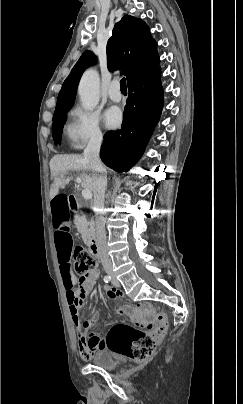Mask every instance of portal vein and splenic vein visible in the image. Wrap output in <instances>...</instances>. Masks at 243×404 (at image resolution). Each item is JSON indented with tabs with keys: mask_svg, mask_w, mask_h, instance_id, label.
I'll return each mask as SVG.
<instances>
[{
	"mask_svg": "<svg viewBox=\"0 0 243 404\" xmlns=\"http://www.w3.org/2000/svg\"><path fill=\"white\" fill-rule=\"evenodd\" d=\"M76 182H77V184H81L80 178H76ZM82 196H83L84 200H91L92 192H90V190H82Z\"/></svg>",
	"mask_w": 243,
	"mask_h": 404,
	"instance_id": "portal-vein-and-splenic-vein-1",
	"label": "portal vein and splenic vein"
}]
</instances>
